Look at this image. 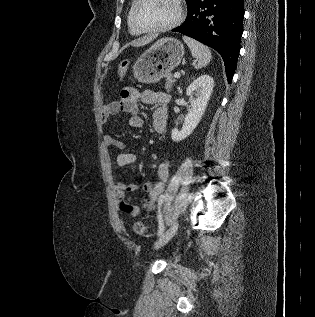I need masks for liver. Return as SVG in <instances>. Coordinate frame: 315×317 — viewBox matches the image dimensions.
<instances>
[{"mask_svg": "<svg viewBox=\"0 0 315 317\" xmlns=\"http://www.w3.org/2000/svg\"><path fill=\"white\" fill-rule=\"evenodd\" d=\"M155 38H156L155 35L138 38V39L132 41V42H131V45L134 46V47H141V46H144V45L150 43V42L153 41Z\"/></svg>", "mask_w": 315, "mask_h": 317, "instance_id": "obj_1", "label": "liver"}]
</instances>
